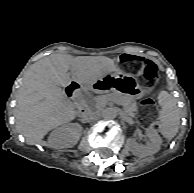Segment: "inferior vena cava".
Listing matches in <instances>:
<instances>
[{
  "label": "inferior vena cava",
  "instance_id": "602c4592",
  "mask_svg": "<svg viewBox=\"0 0 194 193\" xmlns=\"http://www.w3.org/2000/svg\"><path fill=\"white\" fill-rule=\"evenodd\" d=\"M97 112H94V111H89L87 112L85 115H84V119L86 121H89V120H93L95 118H97Z\"/></svg>",
  "mask_w": 194,
  "mask_h": 193
}]
</instances>
